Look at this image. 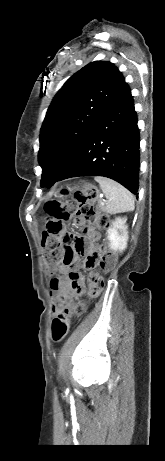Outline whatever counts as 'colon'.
<instances>
[{"label":"colon","instance_id":"5ec220e1","mask_svg":"<svg viewBox=\"0 0 165 461\" xmlns=\"http://www.w3.org/2000/svg\"><path fill=\"white\" fill-rule=\"evenodd\" d=\"M68 191H63L66 195ZM73 199H52L45 205L48 218L44 224L42 234V244L45 248L44 261L46 268L52 270L60 263L61 251L68 250V246H63V228L70 214H75L83 221L93 222L101 229L110 226V218L105 214H98L93 202L97 198V189L89 184L82 185L72 190ZM115 256L111 251L103 250L87 257L86 266L88 268L100 267L103 270H110L114 266ZM104 288V280L98 273H91L87 297L96 298ZM85 311V303L78 301L74 308V316H80ZM69 331V323L64 315H59L52 322V339L55 342L62 341Z\"/></svg>","mask_w":165,"mask_h":461}]
</instances>
